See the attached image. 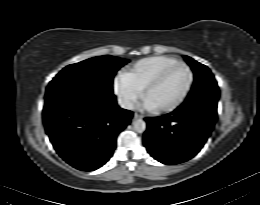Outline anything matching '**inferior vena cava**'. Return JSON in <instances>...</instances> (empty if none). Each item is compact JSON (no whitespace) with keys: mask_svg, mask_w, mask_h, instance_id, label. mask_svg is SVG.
<instances>
[{"mask_svg":"<svg viewBox=\"0 0 260 205\" xmlns=\"http://www.w3.org/2000/svg\"><path fill=\"white\" fill-rule=\"evenodd\" d=\"M118 104L123 109H128V110H133L134 109L133 103L130 100L126 99V98H119L118 99Z\"/></svg>","mask_w":260,"mask_h":205,"instance_id":"inferior-vena-cava-1","label":"inferior vena cava"}]
</instances>
